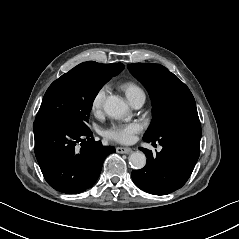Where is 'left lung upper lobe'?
Here are the masks:
<instances>
[{"label":"left lung upper lobe","mask_w":239,"mask_h":239,"mask_svg":"<svg viewBox=\"0 0 239 239\" xmlns=\"http://www.w3.org/2000/svg\"><path fill=\"white\" fill-rule=\"evenodd\" d=\"M130 72L148 90L153 119L144 137L158 139L162 132L181 122H199L194 97L189 88L160 64H128Z\"/></svg>","instance_id":"left-lung-upper-lobe-1"}]
</instances>
